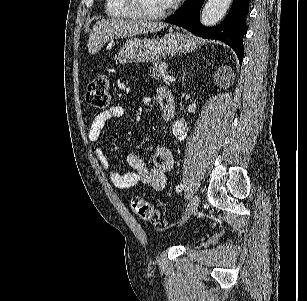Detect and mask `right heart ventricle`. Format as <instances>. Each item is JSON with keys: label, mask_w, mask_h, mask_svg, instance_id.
Instances as JSON below:
<instances>
[{"label": "right heart ventricle", "mask_w": 307, "mask_h": 301, "mask_svg": "<svg viewBox=\"0 0 307 301\" xmlns=\"http://www.w3.org/2000/svg\"><path fill=\"white\" fill-rule=\"evenodd\" d=\"M127 0H107L104 17H135V10L124 9Z\"/></svg>", "instance_id": "obj_1"}]
</instances>
